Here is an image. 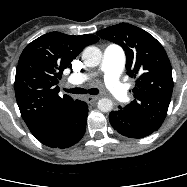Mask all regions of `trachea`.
<instances>
[{
  "mask_svg": "<svg viewBox=\"0 0 187 187\" xmlns=\"http://www.w3.org/2000/svg\"><path fill=\"white\" fill-rule=\"evenodd\" d=\"M65 92L72 93V94H91V95H97L99 93V90L97 88H91V89H84V88H73V89H64Z\"/></svg>",
  "mask_w": 187,
  "mask_h": 187,
  "instance_id": "1",
  "label": "trachea"
}]
</instances>
